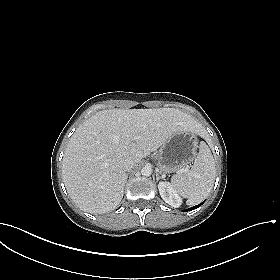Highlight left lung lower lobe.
<instances>
[{"label":"left lung lower lobe","instance_id":"1","mask_svg":"<svg viewBox=\"0 0 280 280\" xmlns=\"http://www.w3.org/2000/svg\"><path fill=\"white\" fill-rule=\"evenodd\" d=\"M202 204H203V202H202L201 204L197 205V206H194V207H192V208L187 209L186 211L194 210V209L198 208V207H199L200 205H202Z\"/></svg>","mask_w":280,"mask_h":280}]
</instances>
